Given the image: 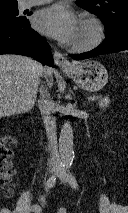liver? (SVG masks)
I'll return each instance as SVG.
<instances>
[{
    "instance_id": "1",
    "label": "liver",
    "mask_w": 128,
    "mask_h": 213,
    "mask_svg": "<svg viewBox=\"0 0 128 213\" xmlns=\"http://www.w3.org/2000/svg\"><path fill=\"white\" fill-rule=\"evenodd\" d=\"M43 66L20 55H0V118L30 111L36 101ZM45 77L52 85V69Z\"/></svg>"
}]
</instances>
